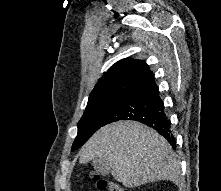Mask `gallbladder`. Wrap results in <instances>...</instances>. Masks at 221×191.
<instances>
[{"label": "gallbladder", "instance_id": "gallbladder-1", "mask_svg": "<svg viewBox=\"0 0 221 191\" xmlns=\"http://www.w3.org/2000/svg\"><path fill=\"white\" fill-rule=\"evenodd\" d=\"M94 170L101 175H107L110 173L111 168L107 162L102 159L96 158L92 161Z\"/></svg>", "mask_w": 221, "mask_h": 191}]
</instances>
